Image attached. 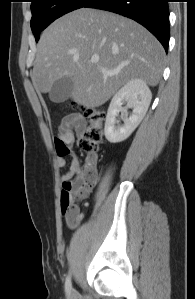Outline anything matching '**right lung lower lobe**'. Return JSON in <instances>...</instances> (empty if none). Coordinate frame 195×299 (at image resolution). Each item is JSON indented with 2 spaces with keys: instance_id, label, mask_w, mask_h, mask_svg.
<instances>
[{
  "instance_id": "obj_1",
  "label": "right lung lower lobe",
  "mask_w": 195,
  "mask_h": 299,
  "mask_svg": "<svg viewBox=\"0 0 195 299\" xmlns=\"http://www.w3.org/2000/svg\"><path fill=\"white\" fill-rule=\"evenodd\" d=\"M83 7L111 11L137 21L160 41L167 52L168 0H90Z\"/></svg>"
}]
</instances>
